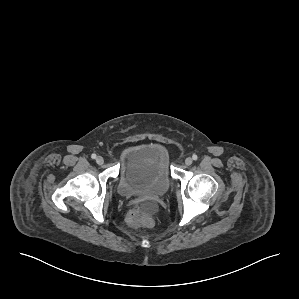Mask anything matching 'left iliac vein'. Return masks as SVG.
Returning <instances> with one entry per match:
<instances>
[{"label":"left iliac vein","instance_id":"left-iliac-vein-1","mask_svg":"<svg viewBox=\"0 0 299 299\" xmlns=\"http://www.w3.org/2000/svg\"><path fill=\"white\" fill-rule=\"evenodd\" d=\"M192 162H193V160L190 157H188V158L185 159V164L188 165V166L191 165Z\"/></svg>","mask_w":299,"mask_h":299}]
</instances>
